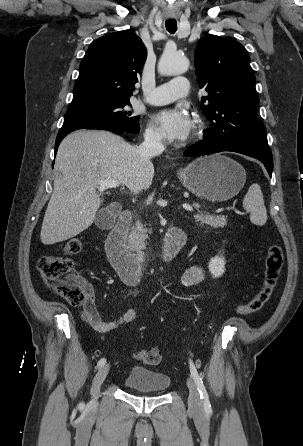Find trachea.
Segmentation results:
<instances>
[{"label":"trachea","instance_id":"trachea-1","mask_svg":"<svg viewBox=\"0 0 303 446\" xmlns=\"http://www.w3.org/2000/svg\"><path fill=\"white\" fill-rule=\"evenodd\" d=\"M165 26H166V29L172 34L175 33L177 30V22L175 20L166 21Z\"/></svg>","mask_w":303,"mask_h":446}]
</instances>
